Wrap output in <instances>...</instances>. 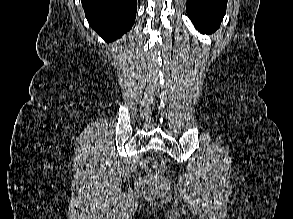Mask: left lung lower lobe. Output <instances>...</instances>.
<instances>
[{
    "mask_svg": "<svg viewBox=\"0 0 293 219\" xmlns=\"http://www.w3.org/2000/svg\"><path fill=\"white\" fill-rule=\"evenodd\" d=\"M227 0H187V14L198 31L217 30L226 13Z\"/></svg>",
    "mask_w": 293,
    "mask_h": 219,
    "instance_id": "1",
    "label": "left lung lower lobe"
}]
</instances>
